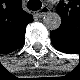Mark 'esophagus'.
Instances as JSON below:
<instances>
[{
    "instance_id": "1",
    "label": "esophagus",
    "mask_w": 80,
    "mask_h": 80,
    "mask_svg": "<svg viewBox=\"0 0 80 80\" xmlns=\"http://www.w3.org/2000/svg\"><path fill=\"white\" fill-rule=\"evenodd\" d=\"M43 9V8H42ZM41 9V11L38 13V16L43 17L44 14H46L47 12H43V10Z\"/></svg>"
}]
</instances>
